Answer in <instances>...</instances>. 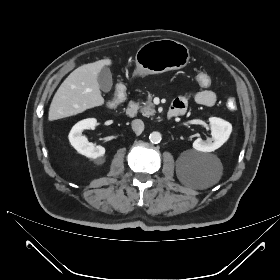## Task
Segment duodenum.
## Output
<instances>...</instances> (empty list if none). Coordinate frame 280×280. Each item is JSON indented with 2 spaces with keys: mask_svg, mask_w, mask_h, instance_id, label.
I'll list each match as a JSON object with an SVG mask.
<instances>
[{
  "mask_svg": "<svg viewBox=\"0 0 280 280\" xmlns=\"http://www.w3.org/2000/svg\"><path fill=\"white\" fill-rule=\"evenodd\" d=\"M139 110V104L136 100H131L126 108V113L129 117H135L138 113ZM179 114H181V111L171 107L168 111V117L169 118H173L175 116H178Z\"/></svg>",
  "mask_w": 280,
  "mask_h": 280,
  "instance_id": "410a0bca",
  "label": "duodenum"
}]
</instances>
